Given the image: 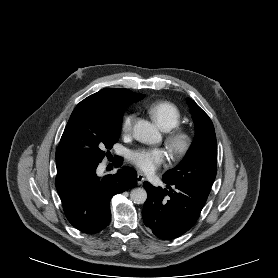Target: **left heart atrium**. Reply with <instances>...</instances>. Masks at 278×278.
I'll return each mask as SVG.
<instances>
[{
	"label": "left heart atrium",
	"mask_w": 278,
	"mask_h": 278,
	"mask_svg": "<svg viewBox=\"0 0 278 278\" xmlns=\"http://www.w3.org/2000/svg\"><path fill=\"white\" fill-rule=\"evenodd\" d=\"M167 152L160 148L131 151L129 159L140 171L153 174L166 160Z\"/></svg>",
	"instance_id": "39dd6f15"
}]
</instances>
